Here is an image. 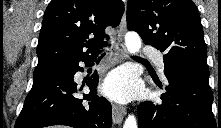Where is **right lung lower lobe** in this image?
Masks as SVG:
<instances>
[{"label":"right lung lower lobe","instance_id":"obj_1","mask_svg":"<svg viewBox=\"0 0 221 128\" xmlns=\"http://www.w3.org/2000/svg\"><path fill=\"white\" fill-rule=\"evenodd\" d=\"M95 57L73 60L63 66L34 76L33 86L25 99L15 128H41L51 125H67L74 128H111L112 108L110 102L96 95L98 74L95 71L88 81L90 94L84 95L88 104L75 98L77 84L74 74L83 71L80 61L92 65Z\"/></svg>","mask_w":221,"mask_h":128}]
</instances>
